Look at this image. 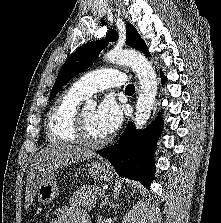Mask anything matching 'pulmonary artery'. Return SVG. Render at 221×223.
Listing matches in <instances>:
<instances>
[{
	"mask_svg": "<svg viewBox=\"0 0 221 223\" xmlns=\"http://www.w3.org/2000/svg\"><path fill=\"white\" fill-rule=\"evenodd\" d=\"M126 83V75L116 68H106L92 71L77 79L71 89L86 98L93 93L113 86H123Z\"/></svg>",
	"mask_w": 221,
	"mask_h": 223,
	"instance_id": "e3ab8cb5",
	"label": "pulmonary artery"
}]
</instances>
